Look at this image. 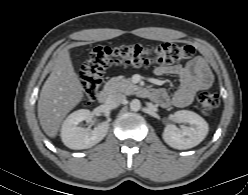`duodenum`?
<instances>
[{
    "instance_id": "duodenum-1",
    "label": "duodenum",
    "mask_w": 248,
    "mask_h": 195,
    "mask_svg": "<svg viewBox=\"0 0 248 195\" xmlns=\"http://www.w3.org/2000/svg\"><path fill=\"white\" fill-rule=\"evenodd\" d=\"M139 96L146 97L149 94V90L143 87H139L136 91ZM113 98V90L110 87L102 88L98 93V100L101 103H110Z\"/></svg>"
}]
</instances>
